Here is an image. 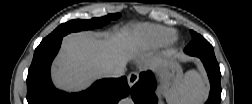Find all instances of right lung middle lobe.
I'll return each instance as SVG.
<instances>
[{"mask_svg": "<svg viewBox=\"0 0 252 104\" xmlns=\"http://www.w3.org/2000/svg\"><path fill=\"white\" fill-rule=\"evenodd\" d=\"M120 17L119 13L109 14L105 17L92 18L91 20H71L58 26L50 35L42 40L40 44L49 43L58 39H62L63 36L70 32H78L81 30H90L100 28L108 24L111 20H116Z\"/></svg>", "mask_w": 252, "mask_h": 104, "instance_id": "right-lung-middle-lobe-1", "label": "right lung middle lobe"}]
</instances>
